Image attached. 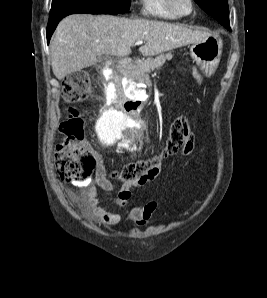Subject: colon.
Returning a JSON list of instances; mask_svg holds the SVG:
<instances>
[{
    "instance_id": "1",
    "label": "colon",
    "mask_w": 267,
    "mask_h": 298,
    "mask_svg": "<svg viewBox=\"0 0 267 298\" xmlns=\"http://www.w3.org/2000/svg\"><path fill=\"white\" fill-rule=\"evenodd\" d=\"M90 90V80L86 72H73L63 82V97L68 103L84 100ZM63 143L55 153V170L66 181H85L95 170L97 160L93 152L82 144L84 123L74 108H70L67 118L61 124ZM194 148V133L186 117L174 119L167 141L161 152L147 160L131 162L112 173V177L124 183H133L150 178L160 161L173 153L189 155Z\"/></svg>"
}]
</instances>
